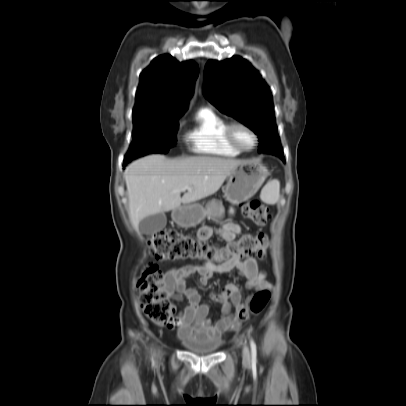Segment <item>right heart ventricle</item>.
Returning a JSON list of instances; mask_svg holds the SVG:
<instances>
[{"label":"right heart ventricle","instance_id":"e07e8e85","mask_svg":"<svg viewBox=\"0 0 406 406\" xmlns=\"http://www.w3.org/2000/svg\"><path fill=\"white\" fill-rule=\"evenodd\" d=\"M228 122L210 107H202L186 134L192 151L200 154L234 157L241 153L226 138Z\"/></svg>","mask_w":406,"mask_h":406}]
</instances>
